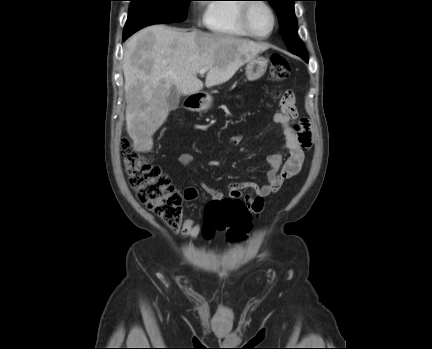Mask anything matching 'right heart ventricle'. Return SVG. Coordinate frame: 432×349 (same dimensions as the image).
Here are the masks:
<instances>
[{
  "instance_id": "obj_1",
  "label": "right heart ventricle",
  "mask_w": 432,
  "mask_h": 349,
  "mask_svg": "<svg viewBox=\"0 0 432 349\" xmlns=\"http://www.w3.org/2000/svg\"><path fill=\"white\" fill-rule=\"evenodd\" d=\"M222 1L242 0H212L209 2L204 15V25L212 33L230 37H248L239 23L241 3H223Z\"/></svg>"
}]
</instances>
